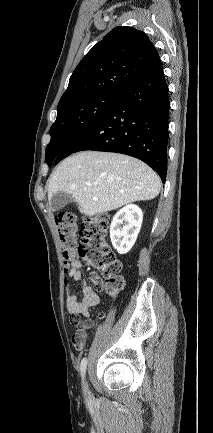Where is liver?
I'll return each mask as SVG.
<instances>
[{
  "label": "liver",
  "instance_id": "6515ba94",
  "mask_svg": "<svg viewBox=\"0 0 213 433\" xmlns=\"http://www.w3.org/2000/svg\"><path fill=\"white\" fill-rule=\"evenodd\" d=\"M160 189L159 176L144 162L119 153L84 151L66 158L55 170L48 185V200L59 191L66 192L82 214L93 216L152 200Z\"/></svg>",
  "mask_w": 213,
  "mask_h": 433
}]
</instances>
